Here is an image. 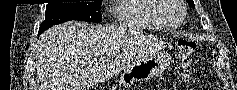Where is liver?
<instances>
[{
	"instance_id": "liver-1",
	"label": "liver",
	"mask_w": 237,
	"mask_h": 90,
	"mask_svg": "<svg viewBox=\"0 0 237 90\" xmlns=\"http://www.w3.org/2000/svg\"><path fill=\"white\" fill-rule=\"evenodd\" d=\"M117 28L66 22L44 32L37 54L42 90H89L118 68Z\"/></svg>"
}]
</instances>
